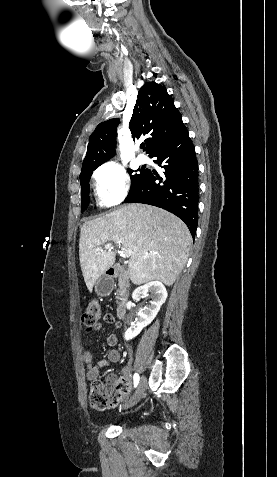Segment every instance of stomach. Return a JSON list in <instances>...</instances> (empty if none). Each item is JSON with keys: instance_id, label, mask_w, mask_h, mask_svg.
I'll return each mask as SVG.
<instances>
[{"instance_id": "stomach-1", "label": "stomach", "mask_w": 277, "mask_h": 477, "mask_svg": "<svg viewBox=\"0 0 277 477\" xmlns=\"http://www.w3.org/2000/svg\"><path fill=\"white\" fill-rule=\"evenodd\" d=\"M94 287L97 295L106 296L113 290V282L110 278L102 276L96 281Z\"/></svg>"}]
</instances>
